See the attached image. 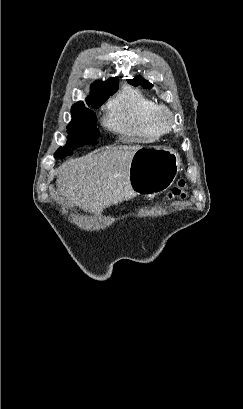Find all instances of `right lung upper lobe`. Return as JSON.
Wrapping results in <instances>:
<instances>
[{"mask_svg":"<svg viewBox=\"0 0 243 409\" xmlns=\"http://www.w3.org/2000/svg\"><path fill=\"white\" fill-rule=\"evenodd\" d=\"M119 80L117 77L110 78L107 81L101 82L96 81L91 85L90 95L86 98V103L88 105H93L99 102L106 94L115 92ZM85 108L83 102H77L73 105L72 109Z\"/></svg>","mask_w":243,"mask_h":409,"instance_id":"right-lung-upper-lobe-1","label":"right lung upper lobe"}]
</instances>
